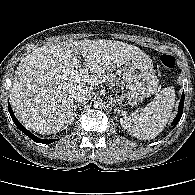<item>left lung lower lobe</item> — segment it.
I'll use <instances>...</instances> for the list:
<instances>
[{
    "label": "left lung lower lobe",
    "mask_w": 195,
    "mask_h": 195,
    "mask_svg": "<svg viewBox=\"0 0 195 195\" xmlns=\"http://www.w3.org/2000/svg\"><path fill=\"white\" fill-rule=\"evenodd\" d=\"M183 105H184V92H183L181 100H180V104H179V108H178V114L172 122L173 127H175L177 125V123L180 121V118H181L182 113H183Z\"/></svg>",
    "instance_id": "1"
}]
</instances>
